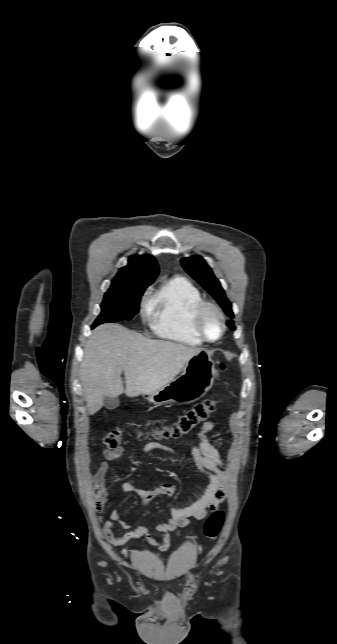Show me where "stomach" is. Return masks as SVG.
Listing matches in <instances>:
<instances>
[{
    "mask_svg": "<svg viewBox=\"0 0 337 644\" xmlns=\"http://www.w3.org/2000/svg\"><path fill=\"white\" fill-rule=\"evenodd\" d=\"M215 374L210 353L201 350L190 358L179 377L153 393L143 394V397L156 406L190 404L207 394L214 384Z\"/></svg>",
    "mask_w": 337,
    "mask_h": 644,
    "instance_id": "stomach-1",
    "label": "stomach"
}]
</instances>
